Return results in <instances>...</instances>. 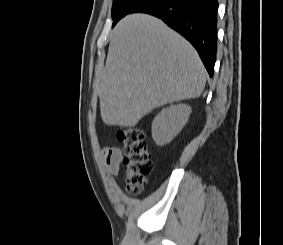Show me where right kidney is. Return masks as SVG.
Wrapping results in <instances>:
<instances>
[{"label": "right kidney", "mask_w": 283, "mask_h": 245, "mask_svg": "<svg viewBox=\"0 0 283 245\" xmlns=\"http://www.w3.org/2000/svg\"><path fill=\"white\" fill-rule=\"evenodd\" d=\"M191 107L186 104L164 108L153 120L152 137L157 145H165L173 140L188 121Z\"/></svg>", "instance_id": "obj_1"}]
</instances>
